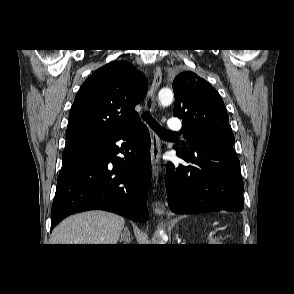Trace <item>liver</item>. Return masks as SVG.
I'll list each match as a JSON object with an SVG mask.
<instances>
[{
	"instance_id": "liver-1",
	"label": "liver",
	"mask_w": 294,
	"mask_h": 294,
	"mask_svg": "<svg viewBox=\"0 0 294 294\" xmlns=\"http://www.w3.org/2000/svg\"><path fill=\"white\" fill-rule=\"evenodd\" d=\"M123 217L105 211L70 216L56 226L51 244H117L124 228Z\"/></svg>"
}]
</instances>
